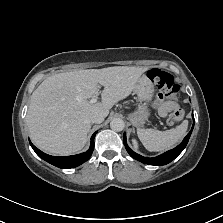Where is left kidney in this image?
Returning <instances> with one entry per match:
<instances>
[{"label": "left kidney", "instance_id": "5707ae66", "mask_svg": "<svg viewBox=\"0 0 223 223\" xmlns=\"http://www.w3.org/2000/svg\"><path fill=\"white\" fill-rule=\"evenodd\" d=\"M132 143H133L134 148L137 149V148H138V143H137V141H136L135 139H133V140H132Z\"/></svg>", "mask_w": 223, "mask_h": 223}]
</instances>
